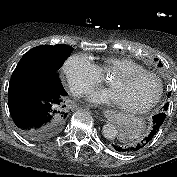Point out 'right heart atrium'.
Segmentation results:
<instances>
[{"label": "right heart atrium", "instance_id": "1", "mask_svg": "<svg viewBox=\"0 0 177 177\" xmlns=\"http://www.w3.org/2000/svg\"><path fill=\"white\" fill-rule=\"evenodd\" d=\"M64 74L72 92L83 95L102 82L97 65L85 54L70 56L63 66Z\"/></svg>", "mask_w": 177, "mask_h": 177}]
</instances>
